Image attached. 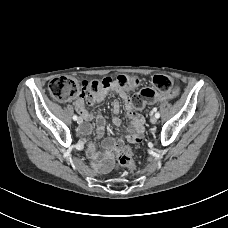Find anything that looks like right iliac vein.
<instances>
[{"label":"right iliac vein","mask_w":228,"mask_h":228,"mask_svg":"<svg viewBox=\"0 0 228 228\" xmlns=\"http://www.w3.org/2000/svg\"><path fill=\"white\" fill-rule=\"evenodd\" d=\"M82 122H83L82 118L79 117V118L77 119V123H78V124H81Z\"/></svg>","instance_id":"right-iliac-vein-1"}]
</instances>
